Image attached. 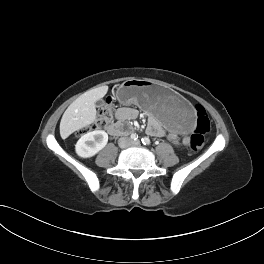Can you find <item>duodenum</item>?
<instances>
[{
	"mask_svg": "<svg viewBox=\"0 0 264 264\" xmlns=\"http://www.w3.org/2000/svg\"><path fill=\"white\" fill-rule=\"evenodd\" d=\"M130 131V129L125 128L122 124L120 123H112L108 127V133L113 136H120V135H125Z\"/></svg>",
	"mask_w": 264,
	"mask_h": 264,
	"instance_id": "obj_1",
	"label": "duodenum"
}]
</instances>
